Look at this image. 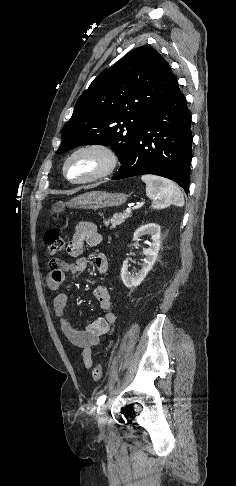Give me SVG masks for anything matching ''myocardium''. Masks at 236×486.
Wrapping results in <instances>:
<instances>
[{"mask_svg": "<svg viewBox=\"0 0 236 486\" xmlns=\"http://www.w3.org/2000/svg\"><path fill=\"white\" fill-rule=\"evenodd\" d=\"M84 152H95L99 154L103 159V165L101 169L95 174L87 178L74 180L70 178L68 175V171H67L68 164L76 155ZM118 163H119V156L111 146L104 143L85 144L76 148L67 156L63 164V175L72 184H76V185L90 184L110 176L117 168Z\"/></svg>", "mask_w": 236, "mask_h": 486, "instance_id": "obj_1", "label": "myocardium"}]
</instances>
